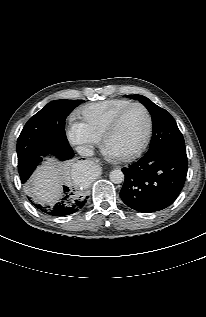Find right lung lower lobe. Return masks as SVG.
Here are the masks:
<instances>
[{
	"label": "right lung lower lobe",
	"instance_id": "98d812e1",
	"mask_svg": "<svg viewBox=\"0 0 206 317\" xmlns=\"http://www.w3.org/2000/svg\"><path fill=\"white\" fill-rule=\"evenodd\" d=\"M74 155L72 148L70 147L69 143L65 146H61L57 148V156L61 160H66L72 158ZM75 191V190H74ZM64 193L65 196L58 202L52 210L47 209L46 207H42L39 204L32 203L37 209L48 213L52 216H66L77 212L81 209L88 197H84L79 192H72L68 187L64 186Z\"/></svg>",
	"mask_w": 206,
	"mask_h": 317
}]
</instances>
